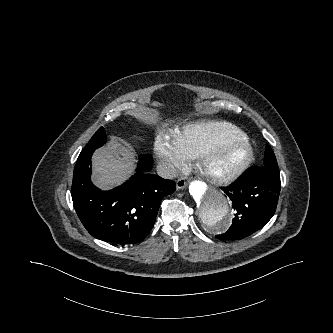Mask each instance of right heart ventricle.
Masks as SVG:
<instances>
[{"label": "right heart ventricle", "mask_w": 333, "mask_h": 333, "mask_svg": "<svg viewBox=\"0 0 333 333\" xmlns=\"http://www.w3.org/2000/svg\"><path fill=\"white\" fill-rule=\"evenodd\" d=\"M173 141L187 158L197 159L200 153L214 140L222 137L248 138L238 127L219 121L189 124L173 133Z\"/></svg>", "instance_id": "e07e8e85"}]
</instances>
